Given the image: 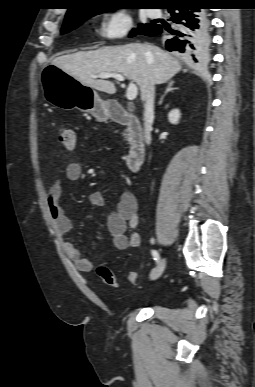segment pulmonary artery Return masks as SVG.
Segmentation results:
<instances>
[{"mask_svg":"<svg viewBox=\"0 0 255 387\" xmlns=\"http://www.w3.org/2000/svg\"><path fill=\"white\" fill-rule=\"evenodd\" d=\"M148 15L152 18H157L161 15V11L159 9H150L148 10Z\"/></svg>","mask_w":255,"mask_h":387,"instance_id":"obj_1","label":"pulmonary artery"}]
</instances>
